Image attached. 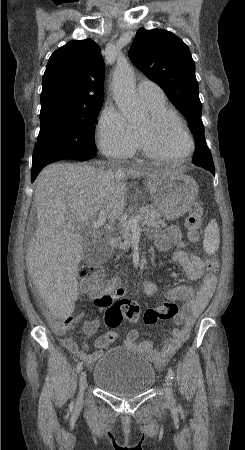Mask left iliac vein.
<instances>
[{
  "label": "left iliac vein",
  "mask_w": 245,
  "mask_h": 450,
  "mask_svg": "<svg viewBox=\"0 0 245 450\" xmlns=\"http://www.w3.org/2000/svg\"><path fill=\"white\" fill-rule=\"evenodd\" d=\"M165 390L166 396L169 403L173 401V389H172V381L169 375L165 377Z\"/></svg>",
  "instance_id": "obj_1"
}]
</instances>
